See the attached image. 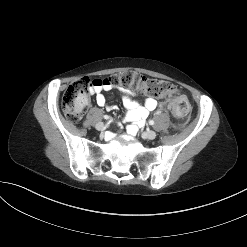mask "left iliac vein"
Returning a JSON list of instances; mask_svg holds the SVG:
<instances>
[{
	"instance_id": "4c4485c4",
	"label": "left iliac vein",
	"mask_w": 247,
	"mask_h": 247,
	"mask_svg": "<svg viewBox=\"0 0 247 247\" xmlns=\"http://www.w3.org/2000/svg\"><path fill=\"white\" fill-rule=\"evenodd\" d=\"M156 136H157L156 132L152 131V130H148V131L143 133V137L146 139H149V140L155 139Z\"/></svg>"
}]
</instances>
